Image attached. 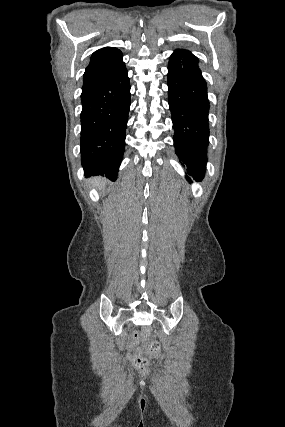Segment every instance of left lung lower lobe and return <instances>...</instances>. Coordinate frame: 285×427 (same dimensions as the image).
<instances>
[{
  "instance_id": "1",
  "label": "left lung lower lobe",
  "mask_w": 285,
  "mask_h": 427,
  "mask_svg": "<svg viewBox=\"0 0 285 427\" xmlns=\"http://www.w3.org/2000/svg\"><path fill=\"white\" fill-rule=\"evenodd\" d=\"M167 78L176 154L188 175L202 180L209 143V100L198 58L189 51L176 50L170 56Z\"/></svg>"
}]
</instances>
